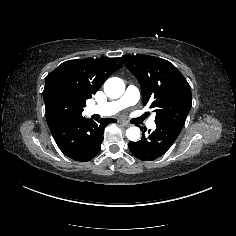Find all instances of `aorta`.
<instances>
[{"label":"aorta","instance_id":"obj_1","mask_svg":"<svg viewBox=\"0 0 236 236\" xmlns=\"http://www.w3.org/2000/svg\"><path fill=\"white\" fill-rule=\"evenodd\" d=\"M125 91L123 81L117 77L106 80L104 84V92L111 99H117L122 96ZM126 136L130 141H137L140 138V129L136 126L129 127L126 130Z\"/></svg>","mask_w":236,"mask_h":236}]
</instances>
